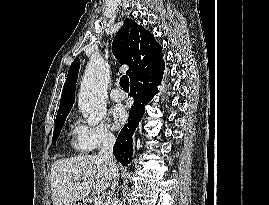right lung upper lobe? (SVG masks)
I'll use <instances>...</instances> for the list:
<instances>
[{"label":"right lung upper lobe","instance_id":"right-lung-upper-lobe-1","mask_svg":"<svg viewBox=\"0 0 269 205\" xmlns=\"http://www.w3.org/2000/svg\"><path fill=\"white\" fill-rule=\"evenodd\" d=\"M112 50L121 64L129 65L126 73L130 77L131 84L147 76L163 75L165 64L161 45L153 34L131 19H125L117 32ZM79 67L80 61L77 58L69 68L56 119L68 115L73 106Z\"/></svg>","mask_w":269,"mask_h":205}]
</instances>
